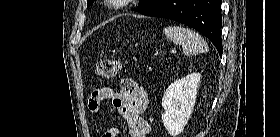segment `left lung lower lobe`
Here are the masks:
<instances>
[{
  "label": "left lung lower lobe",
  "mask_w": 280,
  "mask_h": 137,
  "mask_svg": "<svg viewBox=\"0 0 280 137\" xmlns=\"http://www.w3.org/2000/svg\"><path fill=\"white\" fill-rule=\"evenodd\" d=\"M144 15L175 20L196 29L222 55L221 0H162Z\"/></svg>",
  "instance_id": "obj_1"
}]
</instances>
